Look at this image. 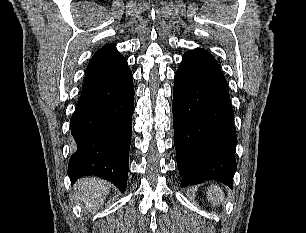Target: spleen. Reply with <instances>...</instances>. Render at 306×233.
Instances as JSON below:
<instances>
[{"label":"spleen","mask_w":306,"mask_h":233,"mask_svg":"<svg viewBox=\"0 0 306 233\" xmlns=\"http://www.w3.org/2000/svg\"><path fill=\"white\" fill-rule=\"evenodd\" d=\"M207 198L213 205L224 200V192L218 186H211L207 191Z\"/></svg>","instance_id":"1"}]
</instances>
